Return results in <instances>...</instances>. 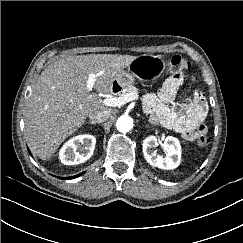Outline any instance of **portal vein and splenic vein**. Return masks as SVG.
I'll return each mask as SVG.
<instances>
[{"label":"portal vein and splenic vein","instance_id":"obj_1","mask_svg":"<svg viewBox=\"0 0 243 243\" xmlns=\"http://www.w3.org/2000/svg\"><path fill=\"white\" fill-rule=\"evenodd\" d=\"M100 74H90L87 80V84L86 87L89 91H91L95 85L96 82V78L99 76ZM133 100H138V95L136 93H129L123 97H113V98H106L104 99L102 102L104 105L106 106H110V107H120L128 102H131Z\"/></svg>","mask_w":243,"mask_h":243}]
</instances>
